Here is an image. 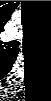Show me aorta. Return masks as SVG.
<instances>
[{
	"instance_id": "aorta-1",
	"label": "aorta",
	"mask_w": 51,
	"mask_h": 101,
	"mask_svg": "<svg viewBox=\"0 0 51 101\" xmlns=\"http://www.w3.org/2000/svg\"><path fill=\"white\" fill-rule=\"evenodd\" d=\"M13 20L16 25H18L19 27H22V25H21V12H16L13 16Z\"/></svg>"
}]
</instances>
